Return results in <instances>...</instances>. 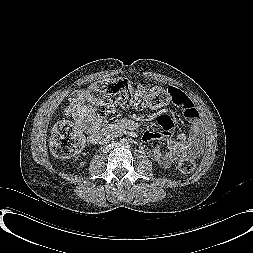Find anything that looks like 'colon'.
<instances>
[{
	"instance_id": "colon-1",
	"label": "colon",
	"mask_w": 253,
	"mask_h": 253,
	"mask_svg": "<svg viewBox=\"0 0 253 253\" xmlns=\"http://www.w3.org/2000/svg\"><path fill=\"white\" fill-rule=\"evenodd\" d=\"M175 92L169 88L134 86L125 79L102 80L91 86L87 95L94 103L107 106H135L156 108L174 101ZM83 147V137L79 129L70 122L59 123L51 136V150L58 158H68ZM179 170L188 174L195 168L191 157H183L178 162Z\"/></svg>"
}]
</instances>
